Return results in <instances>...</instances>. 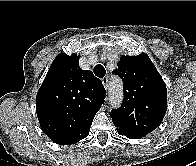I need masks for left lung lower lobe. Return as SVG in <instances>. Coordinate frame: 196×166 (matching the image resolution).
I'll list each match as a JSON object with an SVG mask.
<instances>
[{
  "label": "left lung lower lobe",
  "instance_id": "0a47b994",
  "mask_svg": "<svg viewBox=\"0 0 196 166\" xmlns=\"http://www.w3.org/2000/svg\"><path fill=\"white\" fill-rule=\"evenodd\" d=\"M117 131H118V133H119L120 135H125V136H127L128 138H130V139H135V138H136V137L131 136V135L125 133V132H122V131L119 130V129H117Z\"/></svg>",
  "mask_w": 196,
  "mask_h": 166
}]
</instances>
